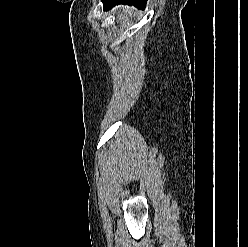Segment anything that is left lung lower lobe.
<instances>
[{"instance_id": "obj_1", "label": "left lung lower lobe", "mask_w": 248, "mask_h": 247, "mask_svg": "<svg viewBox=\"0 0 248 247\" xmlns=\"http://www.w3.org/2000/svg\"><path fill=\"white\" fill-rule=\"evenodd\" d=\"M147 0H102L104 9H110L116 4L134 5L139 8H144Z\"/></svg>"}]
</instances>
